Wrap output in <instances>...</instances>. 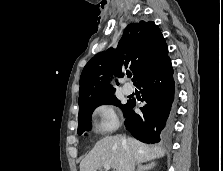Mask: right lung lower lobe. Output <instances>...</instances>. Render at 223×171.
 Returning a JSON list of instances; mask_svg holds the SVG:
<instances>
[{
	"instance_id": "obj_1",
	"label": "right lung lower lobe",
	"mask_w": 223,
	"mask_h": 171,
	"mask_svg": "<svg viewBox=\"0 0 223 171\" xmlns=\"http://www.w3.org/2000/svg\"><path fill=\"white\" fill-rule=\"evenodd\" d=\"M136 86L140 89L142 101L146 105L140 108L141 114H136L132 110L136 101H129L124 113L126 129L142 142H159L174 101L175 88L170 59L141 78Z\"/></svg>"
}]
</instances>
